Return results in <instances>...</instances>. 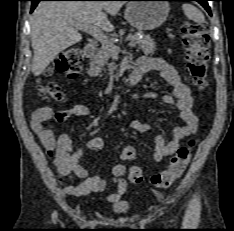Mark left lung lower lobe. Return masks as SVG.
<instances>
[{
    "mask_svg": "<svg viewBox=\"0 0 234 231\" xmlns=\"http://www.w3.org/2000/svg\"><path fill=\"white\" fill-rule=\"evenodd\" d=\"M169 1H197L198 3H200L206 10L207 12L211 15V10L210 7L208 5V1L209 0H169Z\"/></svg>",
    "mask_w": 234,
    "mask_h": 231,
    "instance_id": "1",
    "label": "left lung lower lobe"
}]
</instances>
